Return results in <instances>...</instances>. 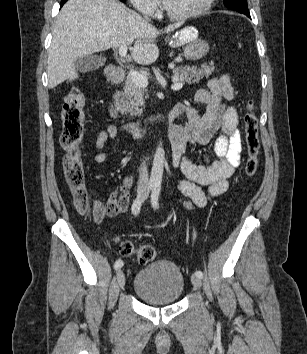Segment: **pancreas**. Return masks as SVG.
<instances>
[{
  "label": "pancreas",
  "instance_id": "obj_1",
  "mask_svg": "<svg viewBox=\"0 0 307 354\" xmlns=\"http://www.w3.org/2000/svg\"><path fill=\"white\" fill-rule=\"evenodd\" d=\"M213 70V67L207 64L201 65V67L180 66L173 69L172 79L182 84L184 82L189 84L199 83L204 77L208 78ZM145 93L146 90L137 86L131 76L128 75L125 80L124 92H120L122 97L118 108L123 113L140 115L143 112L142 107L144 106L146 98Z\"/></svg>",
  "mask_w": 307,
  "mask_h": 354
}]
</instances>
